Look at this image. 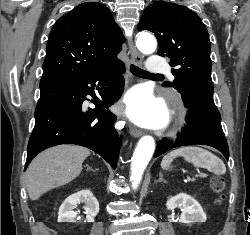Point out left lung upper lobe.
Returning <instances> with one entry per match:
<instances>
[{"instance_id": "obj_1", "label": "left lung upper lobe", "mask_w": 250, "mask_h": 235, "mask_svg": "<svg viewBox=\"0 0 250 235\" xmlns=\"http://www.w3.org/2000/svg\"><path fill=\"white\" fill-rule=\"evenodd\" d=\"M138 30H149L159 43L158 54L170 58L173 82L180 92L186 85L211 79L210 40L200 17L185 6L157 2L146 7Z\"/></svg>"}]
</instances>
